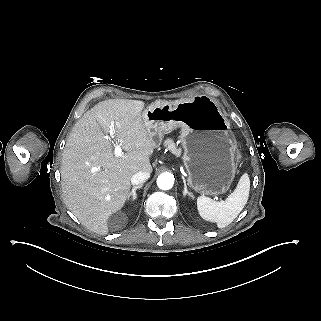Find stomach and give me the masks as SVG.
I'll return each instance as SVG.
<instances>
[{
  "instance_id": "1",
  "label": "stomach",
  "mask_w": 321,
  "mask_h": 321,
  "mask_svg": "<svg viewBox=\"0 0 321 321\" xmlns=\"http://www.w3.org/2000/svg\"><path fill=\"white\" fill-rule=\"evenodd\" d=\"M145 125L159 145L164 134L180 129L181 159L190 189L208 196L226 194L236 177L238 143L232 124L203 95L155 99L143 111Z\"/></svg>"
}]
</instances>
